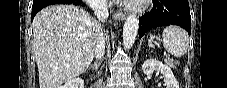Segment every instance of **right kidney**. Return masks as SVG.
I'll list each match as a JSON object with an SVG mask.
<instances>
[{
	"label": "right kidney",
	"mask_w": 227,
	"mask_h": 88,
	"mask_svg": "<svg viewBox=\"0 0 227 88\" xmlns=\"http://www.w3.org/2000/svg\"><path fill=\"white\" fill-rule=\"evenodd\" d=\"M59 88H84V81L81 78H74L67 81L63 86Z\"/></svg>",
	"instance_id": "ca27d5eb"
}]
</instances>
